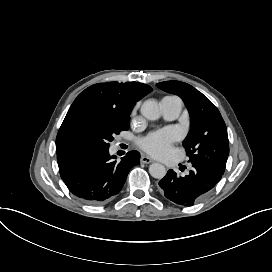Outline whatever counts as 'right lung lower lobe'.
<instances>
[{
    "label": "right lung lower lobe",
    "instance_id": "1",
    "mask_svg": "<svg viewBox=\"0 0 272 272\" xmlns=\"http://www.w3.org/2000/svg\"><path fill=\"white\" fill-rule=\"evenodd\" d=\"M109 149L67 150L57 153L59 172L70 192L89 205H99L122 189L130 169L140 155L130 151L121 161H113Z\"/></svg>",
    "mask_w": 272,
    "mask_h": 272
}]
</instances>
